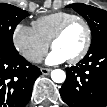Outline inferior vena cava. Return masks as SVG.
Wrapping results in <instances>:
<instances>
[{
  "mask_svg": "<svg viewBox=\"0 0 107 107\" xmlns=\"http://www.w3.org/2000/svg\"><path fill=\"white\" fill-rule=\"evenodd\" d=\"M29 60L33 63H40L42 62L43 58L41 55H33Z\"/></svg>",
  "mask_w": 107,
  "mask_h": 107,
  "instance_id": "inferior-vena-cava-1",
  "label": "inferior vena cava"
}]
</instances>
